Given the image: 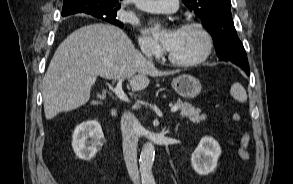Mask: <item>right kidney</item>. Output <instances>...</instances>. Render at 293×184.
I'll list each match as a JSON object with an SVG mask.
<instances>
[{
	"mask_svg": "<svg viewBox=\"0 0 293 184\" xmlns=\"http://www.w3.org/2000/svg\"><path fill=\"white\" fill-rule=\"evenodd\" d=\"M90 138V140H88ZM104 135L101 125L90 120L78 125L72 136V148L76 156L85 161L91 160L102 148Z\"/></svg>",
	"mask_w": 293,
	"mask_h": 184,
	"instance_id": "1",
	"label": "right kidney"
}]
</instances>
